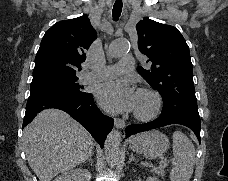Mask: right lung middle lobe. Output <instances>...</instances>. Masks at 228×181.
<instances>
[{
  "mask_svg": "<svg viewBox=\"0 0 228 181\" xmlns=\"http://www.w3.org/2000/svg\"><path fill=\"white\" fill-rule=\"evenodd\" d=\"M78 78L75 75L51 76L33 79L31 83V94L54 92L64 94L72 98H84L89 93L83 90V86L78 85Z\"/></svg>",
  "mask_w": 228,
  "mask_h": 181,
  "instance_id": "obj_1",
  "label": "right lung middle lobe"
}]
</instances>
